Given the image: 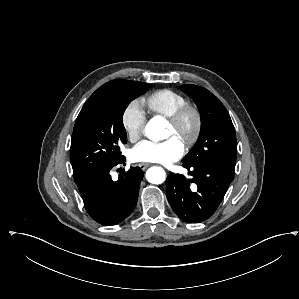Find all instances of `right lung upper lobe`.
Segmentation results:
<instances>
[{"instance_id":"obj_1","label":"right lung upper lobe","mask_w":299,"mask_h":299,"mask_svg":"<svg viewBox=\"0 0 299 299\" xmlns=\"http://www.w3.org/2000/svg\"><path fill=\"white\" fill-rule=\"evenodd\" d=\"M139 83L138 81H130V80H114L107 82L106 84L102 85L99 87L92 95L91 97L87 100V102L91 101L98 95L102 94L103 92L112 89L114 87L122 86V85H130V84H136Z\"/></svg>"}]
</instances>
